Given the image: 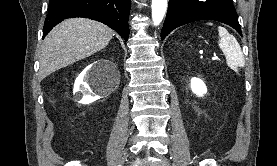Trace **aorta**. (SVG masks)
I'll use <instances>...</instances> for the list:
<instances>
[{"label":"aorta","instance_id":"762f6f07","mask_svg":"<svg viewBox=\"0 0 277 166\" xmlns=\"http://www.w3.org/2000/svg\"><path fill=\"white\" fill-rule=\"evenodd\" d=\"M167 10V0H152V20L155 26L159 25Z\"/></svg>","mask_w":277,"mask_h":166}]
</instances>
